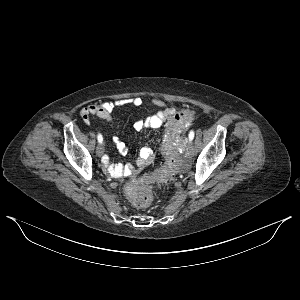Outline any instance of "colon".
Instances as JSON below:
<instances>
[{
  "label": "colon",
  "instance_id": "1",
  "mask_svg": "<svg viewBox=\"0 0 300 300\" xmlns=\"http://www.w3.org/2000/svg\"><path fill=\"white\" fill-rule=\"evenodd\" d=\"M194 113L181 111L175 114L167 125L163 150L167 157L166 167L154 170L136 179V184L127 188V195L136 207H146L152 201L150 185L164 184L174 174L178 163L177 141L180 134L191 123Z\"/></svg>",
  "mask_w": 300,
  "mask_h": 300
}]
</instances>
